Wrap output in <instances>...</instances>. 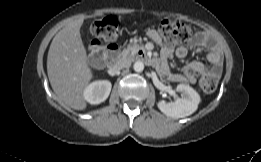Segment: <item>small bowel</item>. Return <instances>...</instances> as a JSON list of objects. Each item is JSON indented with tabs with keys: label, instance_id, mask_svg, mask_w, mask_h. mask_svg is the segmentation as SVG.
I'll return each instance as SVG.
<instances>
[{
	"label": "small bowel",
	"instance_id": "obj_1",
	"mask_svg": "<svg viewBox=\"0 0 261 162\" xmlns=\"http://www.w3.org/2000/svg\"><path fill=\"white\" fill-rule=\"evenodd\" d=\"M149 38L156 43L162 45V41L160 35L152 30L149 32ZM210 41V37L205 32H198L195 34L193 40L191 41L192 46H206ZM187 47L186 46H179L175 49V55L178 58H183L187 55ZM173 50L165 45H162L161 56L162 60L160 63H164V59H166ZM207 60L211 64V67H207L204 63L200 61H191L184 66V74H176L169 71L166 64L159 69L167 75V77L175 82L186 80L190 83L196 82V77L198 74H212L214 76H219L222 71V56L220 49L213 45L210 51L207 54Z\"/></svg>",
	"mask_w": 261,
	"mask_h": 162
}]
</instances>
